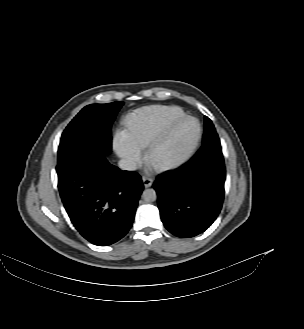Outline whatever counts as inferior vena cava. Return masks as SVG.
<instances>
[{"instance_id": "602c4592", "label": "inferior vena cava", "mask_w": 304, "mask_h": 329, "mask_svg": "<svg viewBox=\"0 0 304 329\" xmlns=\"http://www.w3.org/2000/svg\"><path fill=\"white\" fill-rule=\"evenodd\" d=\"M118 165L122 170L134 171L137 169V163L134 160L128 158L121 159Z\"/></svg>"}]
</instances>
